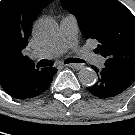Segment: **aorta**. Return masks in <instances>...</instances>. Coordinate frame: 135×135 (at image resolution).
Returning <instances> with one entry per match:
<instances>
[{
  "label": "aorta",
  "instance_id": "obj_1",
  "mask_svg": "<svg viewBox=\"0 0 135 135\" xmlns=\"http://www.w3.org/2000/svg\"><path fill=\"white\" fill-rule=\"evenodd\" d=\"M34 32L40 40L44 42H52L58 38L59 28L54 20L44 18L36 22ZM78 78L81 84L90 86L95 84L97 74L92 68L86 67L79 71Z\"/></svg>",
  "mask_w": 135,
  "mask_h": 135
}]
</instances>
